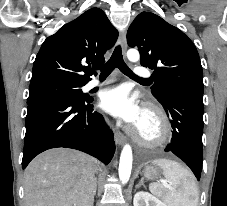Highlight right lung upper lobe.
Returning a JSON list of instances; mask_svg holds the SVG:
<instances>
[{
	"label": "right lung upper lobe",
	"mask_w": 227,
	"mask_h": 206,
	"mask_svg": "<svg viewBox=\"0 0 227 206\" xmlns=\"http://www.w3.org/2000/svg\"><path fill=\"white\" fill-rule=\"evenodd\" d=\"M118 31L99 8H91L65 24L42 44L34 61L31 83L55 79L87 84L91 65L105 62Z\"/></svg>",
	"instance_id": "obj_1"
}]
</instances>
